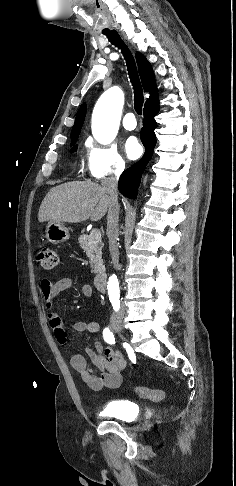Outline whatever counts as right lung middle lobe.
<instances>
[{"instance_id": "1", "label": "right lung middle lobe", "mask_w": 236, "mask_h": 486, "mask_svg": "<svg viewBox=\"0 0 236 486\" xmlns=\"http://www.w3.org/2000/svg\"><path fill=\"white\" fill-rule=\"evenodd\" d=\"M77 139L78 138H74V139L71 140V145L70 146H73V148L71 149V152H74L77 149V145H75L76 142H77Z\"/></svg>"}]
</instances>
